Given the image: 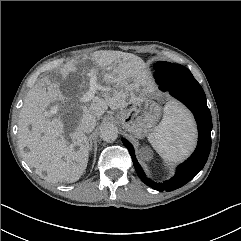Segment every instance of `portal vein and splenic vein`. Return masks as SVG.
<instances>
[{"mask_svg":"<svg viewBox=\"0 0 241 241\" xmlns=\"http://www.w3.org/2000/svg\"><path fill=\"white\" fill-rule=\"evenodd\" d=\"M92 97V94H88V96L86 97L87 100H89Z\"/></svg>","mask_w":241,"mask_h":241,"instance_id":"18ae733b","label":"portal vein and splenic vein"}]
</instances>
